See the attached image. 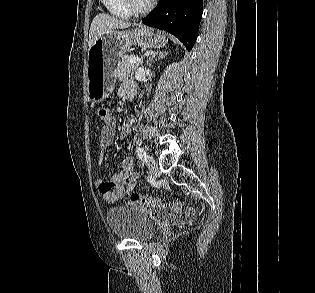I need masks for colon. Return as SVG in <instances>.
<instances>
[{"instance_id": "5ec220e1", "label": "colon", "mask_w": 315, "mask_h": 293, "mask_svg": "<svg viewBox=\"0 0 315 293\" xmlns=\"http://www.w3.org/2000/svg\"><path fill=\"white\" fill-rule=\"evenodd\" d=\"M109 115L110 112L107 108L100 107L97 109V116L103 124L108 120ZM127 203L129 205L156 208L158 211H171L175 220L182 224L189 223L194 216V210L182 209L179 200L176 199L167 202L163 199L133 193L128 197Z\"/></svg>"}]
</instances>
